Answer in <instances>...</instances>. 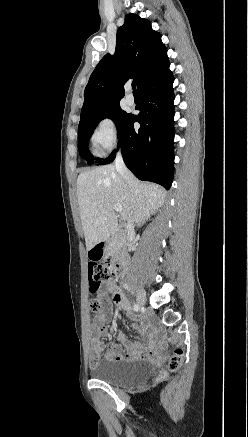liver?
I'll list each match as a JSON object with an SVG mask.
<instances>
[{
  "instance_id": "liver-1",
  "label": "liver",
  "mask_w": 248,
  "mask_h": 437,
  "mask_svg": "<svg viewBox=\"0 0 248 437\" xmlns=\"http://www.w3.org/2000/svg\"><path fill=\"white\" fill-rule=\"evenodd\" d=\"M77 198L86 248L90 250L115 232L118 226L115 204L122 206L124 220L128 221L133 212V223L140 225L164 204L165 192L133 175L128 186L114 165H106L79 174Z\"/></svg>"
}]
</instances>
